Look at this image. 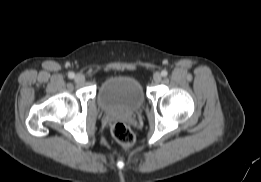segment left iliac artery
I'll list each match as a JSON object with an SVG mask.
<instances>
[{"mask_svg":"<svg viewBox=\"0 0 261 182\" xmlns=\"http://www.w3.org/2000/svg\"><path fill=\"white\" fill-rule=\"evenodd\" d=\"M161 75L163 77H166L168 75V72L166 70H162Z\"/></svg>","mask_w":261,"mask_h":182,"instance_id":"obj_1","label":"left iliac artery"}]
</instances>
